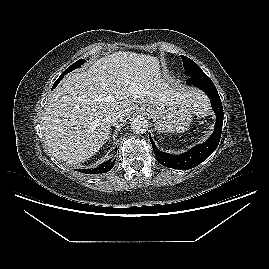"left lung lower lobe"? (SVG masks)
<instances>
[{
  "mask_svg": "<svg viewBox=\"0 0 269 269\" xmlns=\"http://www.w3.org/2000/svg\"><path fill=\"white\" fill-rule=\"evenodd\" d=\"M186 83L198 87L208 95L212 109L216 115V123L214 132L206 142L196 145L189 151L180 155H173L160 151L149 135L156 160L166 167L179 170H187L196 167L216 150L221 138L224 116L221 99L218 95L217 89L212 80L206 74L190 77Z\"/></svg>",
  "mask_w": 269,
  "mask_h": 269,
  "instance_id": "left-lung-lower-lobe-1",
  "label": "left lung lower lobe"
}]
</instances>
